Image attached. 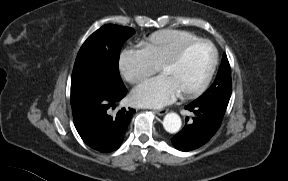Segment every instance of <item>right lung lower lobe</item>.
Wrapping results in <instances>:
<instances>
[{
    "mask_svg": "<svg viewBox=\"0 0 288 181\" xmlns=\"http://www.w3.org/2000/svg\"><path fill=\"white\" fill-rule=\"evenodd\" d=\"M126 94L125 86L115 89L102 80L90 84L78 113L73 115L75 127L88 146L102 153L120 147L135 110L122 108L111 116L109 109Z\"/></svg>",
    "mask_w": 288,
    "mask_h": 181,
    "instance_id": "right-lung-lower-lobe-1",
    "label": "right lung lower lobe"
}]
</instances>
